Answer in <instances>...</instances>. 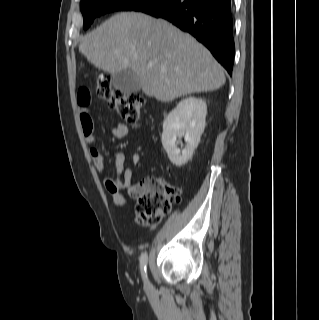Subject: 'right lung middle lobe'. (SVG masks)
I'll return each instance as SVG.
<instances>
[{"label":"right lung middle lobe","mask_w":319,"mask_h":320,"mask_svg":"<svg viewBox=\"0 0 319 320\" xmlns=\"http://www.w3.org/2000/svg\"><path fill=\"white\" fill-rule=\"evenodd\" d=\"M154 1L156 0H81L80 9L84 17V29L90 27L97 16L119 10L136 11Z\"/></svg>","instance_id":"right-lung-middle-lobe-1"}]
</instances>
